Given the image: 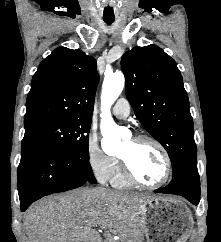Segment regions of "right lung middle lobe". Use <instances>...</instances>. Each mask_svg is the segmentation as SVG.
Segmentation results:
<instances>
[{
  "mask_svg": "<svg viewBox=\"0 0 221 242\" xmlns=\"http://www.w3.org/2000/svg\"><path fill=\"white\" fill-rule=\"evenodd\" d=\"M92 118L51 119L25 126L22 147L46 145L89 160L88 133Z\"/></svg>",
  "mask_w": 221,
  "mask_h": 242,
  "instance_id": "dd1d6c3e",
  "label": "right lung middle lobe"
}]
</instances>
